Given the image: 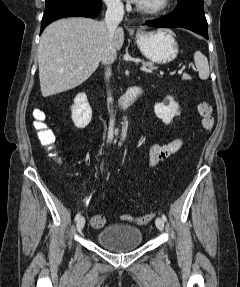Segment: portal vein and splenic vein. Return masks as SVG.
Wrapping results in <instances>:
<instances>
[{"label": "portal vein and splenic vein", "instance_id": "1", "mask_svg": "<svg viewBox=\"0 0 240 287\" xmlns=\"http://www.w3.org/2000/svg\"><path fill=\"white\" fill-rule=\"evenodd\" d=\"M141 71H144V72H152V70L151 69H147V67H145V66H142L141 68ZM182 71H183V68L179 71V73H182Z\"/></svg>", "mask_w": 240, "mask_h": 287}]
</instances>
